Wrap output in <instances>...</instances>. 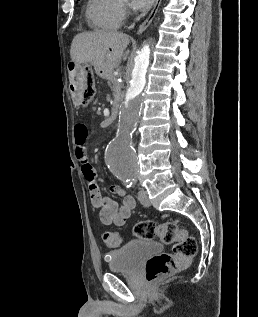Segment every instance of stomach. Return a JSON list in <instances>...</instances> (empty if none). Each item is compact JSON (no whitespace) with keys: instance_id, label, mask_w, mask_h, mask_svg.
<instances>
[{"instance_id":"obj_1","label":"stomach","mask_w":258,"mask_h":317,"mask_svg":"<svg viewBox=\"0 0 258 317\" xmlns=\"http://www.w3.org/2000/svg\"><path fill=\"white\" fill-rule=\"evenodd\" d=\"M73 68L77 70V72H80V70H86V68H90V64H87V62H81V64H78V62H72Z\"/></svg>"}]
</instances>
